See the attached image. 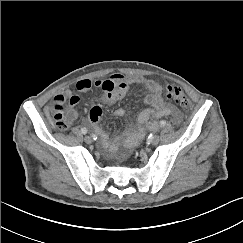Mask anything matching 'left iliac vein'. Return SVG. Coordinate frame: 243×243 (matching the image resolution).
I'll return each mask as SVG.
<instances>
[{"mask_svg":"<svg viewBox=\"0 0 243 243\" xmlns=\"http://www.w3.org/2000/svg\"><path fill=\"white\" fill-rule=\"evenodd\" d=\"M160 141L159 136L155 135L151 140H150V144L152 145H157Z\"/></svg>","mask_w":243,"mask_h":243,"instance_id":"left-iliac-vein-1","label":"left iliac vein"}]
</instances>
